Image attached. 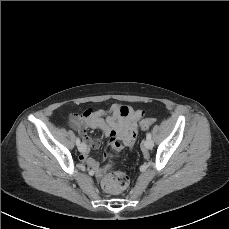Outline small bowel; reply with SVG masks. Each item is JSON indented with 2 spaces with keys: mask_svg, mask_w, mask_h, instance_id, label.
Returning a JSON list of instances; mask_svg holds the SVG:
<instances>
[{
  "mask_svg": "<svg viewBox=\"0 0 229 229\" xmlns=\"http://www.w3.org/2000/svg\"><path fill=\"white\" fill-rule=\"evenodd\" d=\"M140 116L141 112L139 110L119 104L112 105L108 111L87 109L81 113L70 115L69 124L81 135L85 145L80 159L92 169L98 171L100 168L99 161L90 157L88 153L90 149H96L99 146V142L90 138L87 135V131L89 129H98L107 137L113 131L116 132L117 138L109 143V147L113 152L117 153L121 151L123 145H133L135 139L133 133L136 131ZM104 160L107 162L106 166H110L113 156L104 154Z\"/></svg>",
  "mask_w": 229,
  "mask_h": 229,
  "instance_id": "small-bowel-1",
  "label": "small bowel"
}]
</instances>
